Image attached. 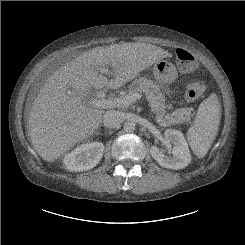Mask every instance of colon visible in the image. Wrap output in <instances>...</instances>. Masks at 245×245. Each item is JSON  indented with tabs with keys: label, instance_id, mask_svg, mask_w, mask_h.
<instances>
[{
	"label": "colon",
	"instance_id": "5ec220e1",
	"mask_svg": "<svg viewBox=\"0 0 245 245\" xmlns=\"http://www.w3.org/2000/svg\"><path fill=\"white\" fill-rule=\"evenodd\" d=\"M176 57L178 68L182 72H191L197 66L194 55L185 48H178L176 50ZM205 90L206 85L204 84V82L193 81L187 85L185 95L188 100H195L201 97Z\"/></svg>",
	"mask_w": 245,
	"mask_h": 245
}]
</instances>
